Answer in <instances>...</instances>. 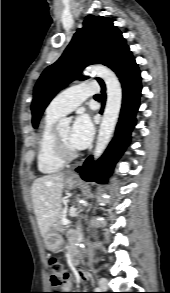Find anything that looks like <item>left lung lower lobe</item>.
<instances>
[{"mask_svg": "<svg viewBox=\"0 0 170 293\" xmlns=\"http://www.w3.org/2000/svg\"><path fill=\"white\" fill-rule=\"evenodd\" d=\"M111 69L117 74L123 88L122 108L115 137L98 161L93 162L92 157H89L83 166L76 169L84 180L100 184L107 181L116 161L129 143L131 131L136 124L135 115L140 105L142 89L140 71L129 49L116 60ZM100 85L105 99V85L103 82Z\"/></svg>", "mask_w": 170, "mask_h": 293, "instance_id": "0a47b994", "label": "left lung lower lobe"}]
</instances>
